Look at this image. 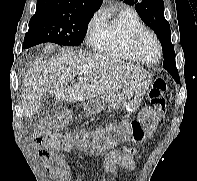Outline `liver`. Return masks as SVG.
Segmentation results:
<instances>
[{
	"label": "liver",
	"instance_id": "6515ba94",
	"mask_svg": "<svg viewBox=\"0 0 197 181\" xmlns=\"http://www.w3.org/2000/svg\"><path fill=\"white\" fill-rule=\"evenodd\" d=\"M54 48V44H45L44 54L51 53ZM75 76L89 81L69 85ZM151 77L140 66L66 47L52 61L43 60L41 55L31 64L23 80L24 114L29 118L37 114L42 98L48 94L53 95L56 101L82 102L128 88Z\"/></svg>",
	"mask_w": 197,
	"mask_h": 181
}]
</instances>
